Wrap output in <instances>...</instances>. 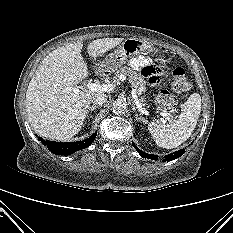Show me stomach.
I'll use <instances>...</instances> for the list:
<instances>
[{"label":"stomach","mask_w":233,"mask_h":233,"mask_svg":"<svg viewBox=\"0 0 233 233\" xmlns=\"http://www.w3.org/2000/svg\"><path fill=\"white\" fill-rule=\"evenodd\" d=\"M151 50H153V48L149 42L138 38H129L126 39L114 53L106 57L103 64L109 72H113L120 68L128 58Z\"/></svg>","instance_id":"stomach-1"}]
</instances>
